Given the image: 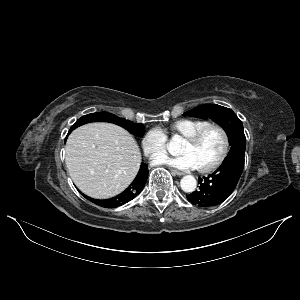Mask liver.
Masks as SVG:
<instances>
[{
  "instance_id": "obj_1",
  "label": "liver",
  "mask_w": 300,
  "mask_h": 300,
  "mask_svg": "<svg viewBox=\"0 0 300 300\" xmlns=\"http://www.w3.org/2000/svg\"><path fill=\"white\" fill-rule=\"evenodd\" d=\"M66 166L86 195L106 199L133 181L140 167V149L125 129L112 123H89L75 129L66 147Z\"/></svg>"
}]
</instances>
